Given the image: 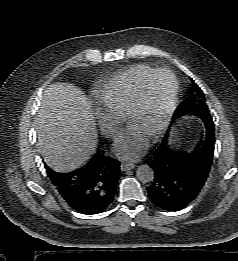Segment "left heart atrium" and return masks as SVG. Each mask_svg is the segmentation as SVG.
<instances>
[{"mask_svg":"<svg viewBox=\"0 0 238 261\" xmlns=\"http://www.w3.org/2000/svg\"><path fill=\"white\" fill-rule=\"evenodd\" d=\"M149 134L138 128L130 126L120 133L114 140L113 150L121 158L127 160H137L148 147Z\"/></svg>","mask_w":238,"mask_h":261,"instance_id":"left-heart-atrium-1","label":"left heart atrium"}]
</instances>
